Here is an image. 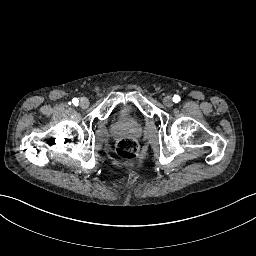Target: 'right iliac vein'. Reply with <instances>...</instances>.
<instances>
[{
    "label": "right iliac vein",
    "instance_id": "right-iliac-vein-1",
    "mask_svg": "<svg viewBox=\"0 0 256 256\" xmlns=\"http://www.w3.org/2000/svg\"><path fill=\"white\" fill-rule=\"evenodd\" d=\"M80 106L83 109H86L89 106V100L85 97L80 99Z\"/></svg>",
    "mask_w": 256,
    "mask_h": 256
}]
</instances>
